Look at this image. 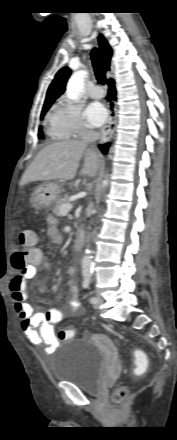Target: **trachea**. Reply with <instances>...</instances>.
<instances>
[{
    "mask_svg": "<svg viewBox=\"0 0 177 440\" xmlns=\"http://www.w3.org/2000/svg\"><path fill=\"white\" fill-rule=\"evenodd\" d=\"M91 60L98 82L101 84H105L106 83L105 64L102 56L100 55V52L97 49H93L91 51Z\"/></svg>",
    "mask_w": 177,
    "mask_h": 440,
    "instance_id": "1",
    "label": "trachea"
}]
</instances>
